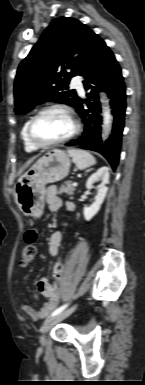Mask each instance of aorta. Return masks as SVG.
Segmentation results:
<instances>
[{
    "mask_svg": "<svg viewBox=\"0 0 145 385\" xmlns=\"http://www.w3.org/2000/svg\"><path fill=\"white\" fill-rule=\"evenodd\" d=\"M103 116H104V127H105V131H107L108 127L110 126V123H111V114H110V111L108 109H105L103 111Z\"/></svg>",
    "mask_w": 145,
    "mask_h": 385,
    "instance_id": "1",
    "label": "aorta"
}]
</instances>
